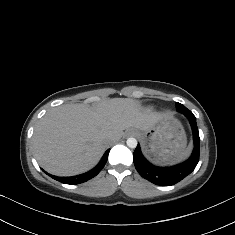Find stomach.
<instances>
[{
    "label": "stomach",
    "instance_id": "obj_1",
    "mask_svg": "<svg viewBox=\"0 0 235 235\" xmlns=\"http://www.w3.org/2000/svg\"><path fill=\"white\" fill-rule=\"evenodd\" d=\"M134 131L145 151L153 156V161L165 165L179 158L186 149L187 138L181 123L172 116L160 119L147 129Z\"/></svg>",
    "mask_w": 235,
    "mask_h": 235
}]
</instances>
